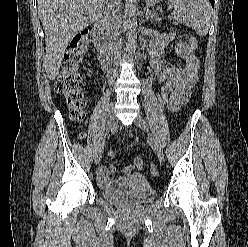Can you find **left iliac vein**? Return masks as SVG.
Returning <instances> with one entry per match:
<instances>
[{
	"mask_svg": "<svg viewBox=\"0 0 248 247\" xmlns=\"http://www.w3.org/2000/svg\"><path fill=\"white\" fill-rule=\"evenodd\" d=\"M134 124L145 130L146 132H148L149 136L151 137L152 139V142H153V147H154V150L160 160V162H162L164 160V154H163V151L160 147V145L158 144V142L152 137V135L149 133V130H148V126H147V123L145 122V120L141 117V116H137L135 119H134Z\"/></svg>",
	"mask_w": 248,
	"mask_h": 247,
	"instance_id": "1",
	"label": "left iliac vein"
}]
</instances>
